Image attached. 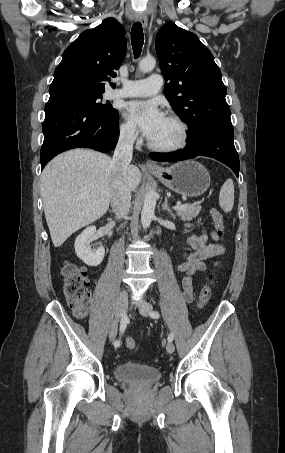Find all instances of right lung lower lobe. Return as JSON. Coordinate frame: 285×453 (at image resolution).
I'll list each match as a JSON object with an SVG mask.
<instances>
[{
  "label": "right lung lower lobe",
  "mask_w": 285,
  "mask_h": 453,
  "mask_svg": "<svg viewBox=\"0 0 285 453\" xmlns=\"http://www.w3.org/2000/svg\"><path fill=\"white\" fill-rule=\"evenodd\" d=\"M119 114L104 118L93 114L78 100L64 94L51 95L42 125L44 142L41 169L56 155L73 148L111 151L119 138Z\"/></svg>",
  "instance_id": "right-lung-lower-lobe-1"
}]
</instances>
